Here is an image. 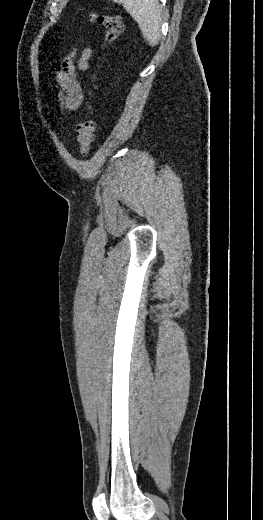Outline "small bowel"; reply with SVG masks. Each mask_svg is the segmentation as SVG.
Segmentation results:
<instances>
[{
  "label": "small bowel",
  "mask_w": 263,
  "mask_h": 520,
  "mask_svg": "<svg viewBox=\"0 0 263 520\" xmlns=\"http://www.w3.org/2000/svg\"><path fill=\"white\" fill-rule=\"evenodd\" d=\"M91 50L85 49L82 52L79 69L86 70L88 68V60L91 57ZM58 98L61 109L76 110L83 102L82 88L75 76V66L71 59H66L62 63V70L57 74Z\"/></svg>",
  "instance_id": "small-bowel-1"
}]
</instances>
